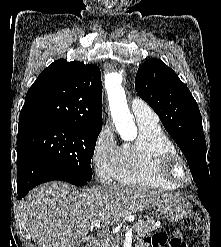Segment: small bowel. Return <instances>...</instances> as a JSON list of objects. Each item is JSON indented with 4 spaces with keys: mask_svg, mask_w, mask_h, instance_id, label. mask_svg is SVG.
<instances>
[{
    "mask_svg": "<svg viewBox=\"0 0 221 247\" xmlns=\"http://www.w3.org/2000/svg\"><path fill=\"white\" fill-rule=\"evenodd\" d=\"M138 247H154L150 241L141 243Z\"/></svg>",
    "mask_w": 221,
    "mask_h": 247,
    "instance_id": "small-bowel-1",
    "label": "small bowel"
}]
</instances>
